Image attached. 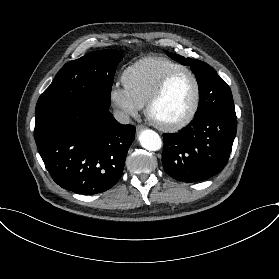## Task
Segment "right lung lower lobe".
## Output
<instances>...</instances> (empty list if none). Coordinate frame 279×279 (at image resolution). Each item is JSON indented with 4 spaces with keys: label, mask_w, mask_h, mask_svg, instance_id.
Segmentation results:
<instances>
[{
    "label": "right lung lower lobe",
    "mask_w": 279,
    "mask_h": 279,
    "mask_svg": "<svg viewBox=\"0 0 279 279\" xmlns=\"http://www.w3.org/2000/svg\"><path fill=\"white\" fill-rule=\"evenodd\" d=\"M35 114L38 151L60 187L93 195L118 182L134 126L119 124L109 108L87 97L50 104Z\"/></svg>",
    "instance_id": "obj_1"
}]
</instances>
